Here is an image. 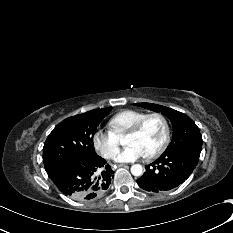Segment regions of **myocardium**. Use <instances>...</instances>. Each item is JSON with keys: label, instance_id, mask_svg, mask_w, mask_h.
I'll list each match as a JSON object with an SVG mask.
<instances>
[{"label": "myocardium", "instance_id": "1", "mask_svg": "<svg viewBox=\"0 0 233 233\" xmlns=\"http://www.w3.org/2000/svg\"><path fill=\"white\" fill-rule=\"evenodd\" d=\"M153 117H157L161 120L163 127H164V136L161 142L159 143V145L153 151H151L150 153L146 155L147 158H153L157 156L158 154H160L164 150V148L167 146L170 140V125H169V121L167 117L160 112H153V113L146 114L138 122H136L132 127H130L126 131V135L137 134L138 132H140V130L142 129L146 121Z\"/></svg>", "mask_w": 233, "mask_h": 233}]
</instances>
